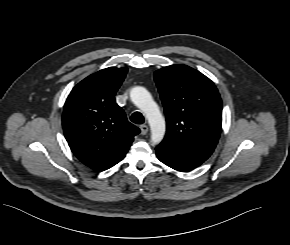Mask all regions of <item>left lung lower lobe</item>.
Masks as SVG:
<instances>
[{"instance_id": "1", "label": "left lung lower lobe", "mask_w": 290, "mask_h": 245, "mask_svg": "<svg viewBox=\"0 0 290 245\" xmlns=\"http://www.w3.org/2000/svg\"><path fill=\"white\" fill-rule=\"evenodd\" d=\"M156 155L161 162L178 171H189L203 163L201 161L182 156L162 145H158L156 147Z\"/></svg>"}]
</instances>
